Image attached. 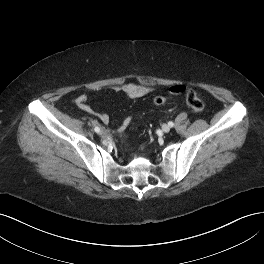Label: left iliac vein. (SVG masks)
<instances>
[{"label":"left iliac vein","mask_w":264,"mask_h":264,"mask_svg":"<svg viewBox=\"0 0 264 264\" xmlns=\"http://www.w3.org/2000/svg\"><path fill=\"white\" fill-rule=\"evenodd\" d=\"M162 131L164 133H168L170 131V126L168 124H163L162 125Z\"/></svg>","instance_id":"4c4485c4"}]
</instances>
